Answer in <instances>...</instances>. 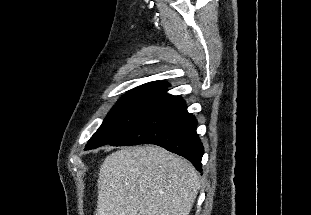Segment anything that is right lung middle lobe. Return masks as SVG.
Instances as JSON below:
<instances>
[{"label":"right lung middle lobe","mask_w":311,"mask_h":215,"mask_svg":"<svg viewBox=\"0 0 311 215\" xmlns=\"http://www.w3.org/2000/svg\"><path fill=\"white\" fill-rule=\"evenodd\" d=\"M166 92L167 86H142L126 93L90 138L85 150L121 138L162 100Z\"/></svg>","instance_id":"dd1d6c3e"}]
</instances>
